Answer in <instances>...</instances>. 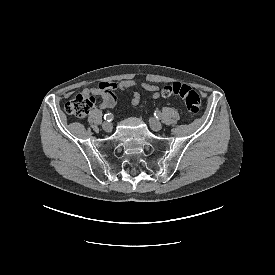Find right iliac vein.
Wrapping results in <instances>:
<instances>
[{"label":"right iliac vein","instance_id":"63e3f726","mask_svg":"<svg viewBox=\"0 0 275 275\" xmlns=\"http://www.w3.org/2000/svg\"><path fill=\"white\" fill-rule=\"evenodd\" d=\"M102 128L106 131V132H110L112 131L113 125L111 122H104L102 124Z\"/></svg>","mask_w":275,"mask_h":275}]
</instances>
